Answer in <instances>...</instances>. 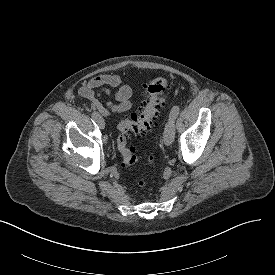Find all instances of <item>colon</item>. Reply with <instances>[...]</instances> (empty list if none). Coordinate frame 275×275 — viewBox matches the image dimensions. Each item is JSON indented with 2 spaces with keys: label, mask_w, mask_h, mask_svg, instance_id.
Here are the masks:
<instances>
[{
  "label": "colon",
  "mask_w": 275,
  "mask_h": 275,
  "mask_svg": "<svg viewBox=\"0 0 275 275\" xmlns=\"http://www.w3.org/2000/svg\"><path fill=\"white\" fill-rule=\"evenodd\" d=\"M171 86V82L164 76L153 78L145 87L143 101L137 111L131 117L118 123L117 145L126 169L133 167L138 162L135 149L127 145L128 137L131 135L143 137L153 130L164 106V97ZM153 160L154 158L150 156L147 163L150 165ZM137 186L140 188L145 187L146 181L144 179L138 180Z\"/></svg>",
  "instance_id": "colon-1"
}]
</instances>
